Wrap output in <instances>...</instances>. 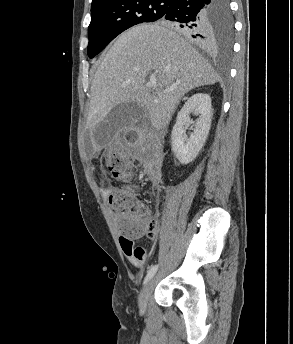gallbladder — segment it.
Wrapping results in <instances>:
<instances>
[{"label": "gallbladder", "instance_id": "gallbladder-1", "mask_svg": "<svg viewBox=\"0 0 293 344\" xmlns=\"http://www.w3.org/2000/svg\"><path fill=\"white\" fill-rule=\"evenodd\" d=\"M143 114L144 110L135 103L116 105L94 129L93 138L96 145L98 147L106 146L120 130L131 127Z\"/></svg>", "mask_w": 293, "mask_h": 344}]
</instances>
